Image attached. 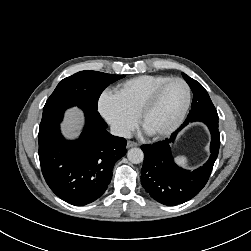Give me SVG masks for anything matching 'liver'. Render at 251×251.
<instances>
[{
    "label": "liver",
    "instance_id": "liver-1",
    "mask_svg": "<svg viewBox=\"0 0 251 251\" xmlns=\"http://www.w3.org/2000/svg\"><path fill=\"white\" fill-rule=\"evenodd\" d=\"M83 112L77 107H73L66 111L62 127V133L69 139L76 138L83 127Z\"/></svg>",
    "mask_w": 251,
    "mask_h": 251
}]
</instances>
